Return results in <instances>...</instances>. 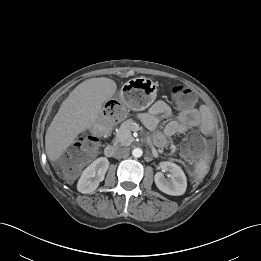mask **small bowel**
<instances>
[{
  "instance_id": "1",
  "label": "small bowel",
  "mask_w": 261,
  "mask_h": 261,
  "mask_svg": "<svg viewBox=\"0 0 261 261\" xmlns=\"http://www.w3.org/2000/svg\"><path fill=\"white\" fill-rule=\"evenodd\" d=\"M172 115L171 107L163 100L156 101L147 112L140 114L139 118L149 130H156L161 121ZM198 128L208 136L213 131V121L205 108H188L179 113L177 120L169 121L162 132L154 135L153 141L158 147H165L167 139L177 134L185 133L190 129Z\"/></svg>"
}]
</instances>
